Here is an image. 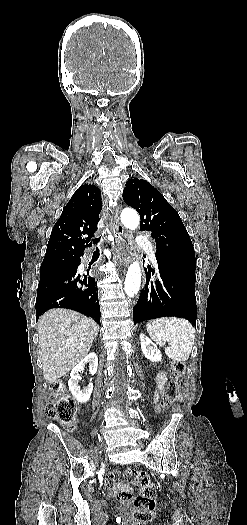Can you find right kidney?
Masks as SVG:
<instances>
[{
	"label": "right kidney",
	"mask_w": 247,
	"mask_h": 525,
	"mask_svg": "<svg viewBox=\"0 0 247 525\" xmlns=\"http://www.w3.org/2000/svg\"><path fill=\"white\" fill-rule=\"evenodd\" d=\"M85 365H89L90 375H95L98 367V357L96 353H89L70 373V379L68 381L69 391H71L74 399H76L78 403H87L93 391V383H88L87 387H83V389L79 387V381H81L79 373L83 371Z\"/></svg>",
	"instance_id": "ca27d5eb"
}]
</instances>
